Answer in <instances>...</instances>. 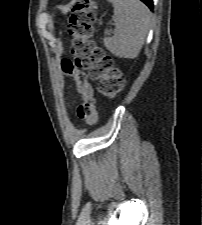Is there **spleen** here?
I'll return each instance as SVG.
<instances>
[{
	"label": "spleen",
	"mask_w": 202,
	"mask_h": 225,
	"mask_svg": "<svg viewBox=\"0 0 202 225\" xmlns=\"http://www.w3.org/2000/svg\"><path fill=\"white\" fill-rule=\"evenodd\" d=\"M114 7V35L103 39L119 58H135L141 51L151 23V12L140 0H108Z\"/></svg>",
	"instance_id": "3e777b00"
}]
</instances>
